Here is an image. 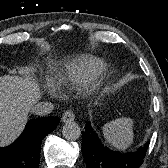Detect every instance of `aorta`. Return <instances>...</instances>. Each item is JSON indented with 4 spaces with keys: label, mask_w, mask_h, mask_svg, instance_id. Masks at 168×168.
<instances>
[{
    "label": "aorta",
    "mask_w": 168,
    "mask_h": 168,
    "mask_svg": "<svg viewBox=\"0 0 168 168\" xmlns=\"http://www.w3.org/2000/svg\"><path fill=\"white\" fill-rule=\"evenodd\" d=\"M62 134L67 140H77L81 135V128L75 122H68L63 126Z\"/></svg>",
    "instance_id": "1"
}]
</instances>
